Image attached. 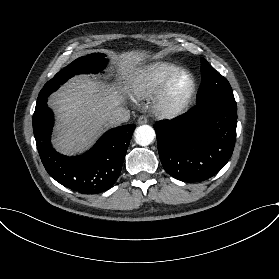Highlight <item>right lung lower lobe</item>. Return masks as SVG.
I'll return each mask as SVG.
<instances>
[{
  "label": "right lung lower lobe",
  "mask_w": 279,
  "mask_h": 279,
  "mask_svg": "<svg viewBox=\"0 0 279 279\" xmlns=\"http://www.w3.org/2000/svg\"><path fill=\"white\" fill-rule=\"evenodd\" d=\"M32 122L41 161L53 179L86 195L104 192L114 185L135 124L111 129L85 154L69 157L56 152L51 146L53 116L47 106V98L37 101Z\"/></svg>",
  "instance_id": "obj_1"
}]
</instances>
